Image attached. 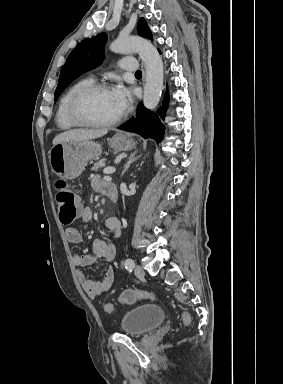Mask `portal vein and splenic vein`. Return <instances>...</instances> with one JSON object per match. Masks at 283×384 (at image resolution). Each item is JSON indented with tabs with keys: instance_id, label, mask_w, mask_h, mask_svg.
I'll return each mask as SVG.
<instances>
[{
	"instance_id": "portal-vein-and-splenic-vein-1",
	"label": "portal vein and splenic vein",
	"mask_w": 283,
	"mask_h": 384,
	"mask_svg": "<svg viewBox=\"0 0 283 384\" xmlns=\"http://www.w3.org/2000/svg\"><path fill=\"white\" fill-rule=\"evenodd\" d=\"M114 172H116L115 168H105L103 170V174H114Z\"/></svg>"
}]
</instances>
